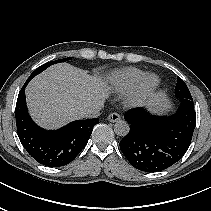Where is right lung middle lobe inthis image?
Segmentation results:
<instances>
[{
	"instance_id": "dd1d6c3e",
	"label": "right lung middle lobe",
	"mask_w": 211,
	"mask_h": 211,
	"mask_svg": "<svg viewBox=\"0 0 211 211\" xmlns=\"http://www.w3.org/2000/svg\"><path fill=\"white\" fill-rule=\"evenodd\" d=\"M71 57L68 58H64V59H60V60H56V61H52V62H48L46 64L41 65L40 67H38L28 78V80H31L33 77H35L37 74L41 73L42 71H44L46 68H48L49 66H51L52 64L55 63H59V62H66L68 60H70Z\"/></svg>"
}]
</instances>
